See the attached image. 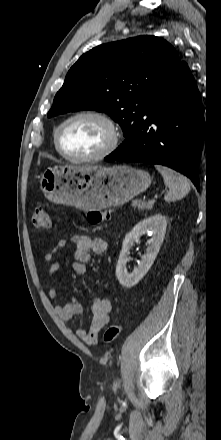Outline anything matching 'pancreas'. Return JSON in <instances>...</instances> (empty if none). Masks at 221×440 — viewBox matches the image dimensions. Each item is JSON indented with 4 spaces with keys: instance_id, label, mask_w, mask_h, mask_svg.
Returning <instances> with one entry per match:
<instances>
[{
    "instance_id": "cf45deb5",
    "label": "pancreas",
    "mask_w": 221,
    "mask_h": 440,
    "mask_svg": "<svg viewBox=\"0 0 221 440\" xmlns=\"http://www.w3.org/2000/svg\"><path fill=\"white\" fill-rule=\"evenodd\" d=\"M154 202H144L140 200H135L132 202L131 206L134 208H138L139 210H151Z\"/></svg>"
}]
</instances>
